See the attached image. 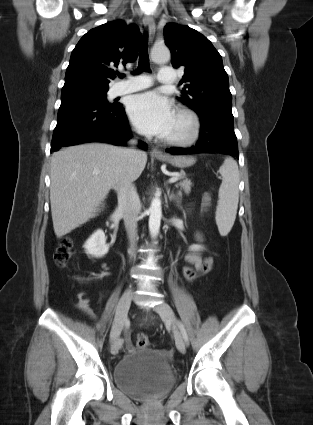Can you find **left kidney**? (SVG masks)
<instances>
[{"instance_id": "left-kidney-1", "label": "left kidney", "mask_w": 313, "mask_h": 425, "mask_svg": "<svg viewBox=\"0 0 313 425\" xmlns=\"http://www.w3.org/2000/svg\"><path fill=\"white\" fill-rule=\"evenodd\" d=\"M200 249H202V246H200V245H192L190 247V250H192V251H198Z\"/></svg>"}]
</instances>
